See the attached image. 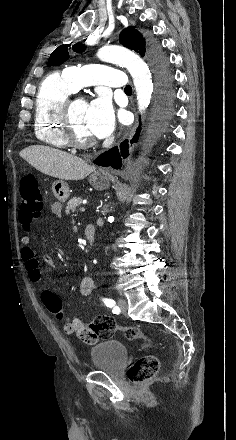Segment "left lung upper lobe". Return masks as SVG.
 Here are the masks:
<instances>
[{
    "label": "left lung upper lobe",
    "instance_id": "1",
    "mask_svg": "<svg viewBox=\"0 0 236 440\" xmlns=\"http://www.w3.org/2000/svg\"><path fill=\"white\" fill-rule=\"evenodd\" d=\"M120 43L124 47L139 53L142 57L145 55V52H146L145 39L133 27H128V28H126V29H124L122 31V33L120 34ZM69 46L70 45H61V46H59L50 55V58H49V61H48L47 65L48 66L61 65L66 60H68V58H69L68 47ZM84 49H85V45H83L81 43H77V44L73 45V50L75 52H81ZM150 53L153 56H156V58L158 59V61L161 64L165 63V60L162 57H160L159 50H158V48H157V46L155 44H151V46H150Z\"/></svg>",
    "mask_w": 236,
    "mask_h": 440
}]
</instances>
